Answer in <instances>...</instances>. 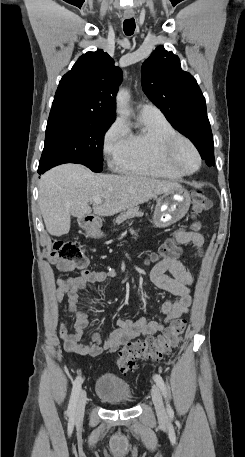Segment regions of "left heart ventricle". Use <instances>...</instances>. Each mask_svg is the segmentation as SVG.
I'll list each match as a JSON object with an SVG mask.
<instances>
[{
	"mask_svg": "<svg viewBox=\"0 0 245 457\" xmlns=\"http://www.w3.org/2000/svg\"><path fill=\"white\" fill-rule=\"evenodd\" d=\"M169 158L172 163L186 171H190L196 166V159L185 143L177 146Z\"/></svg>",
	"mask_w": 245,
	"mask_h": 457,
	"instance_id": "left-heart-ventricle-1",
	"label": "left heart ventricle"
}]
</instances>
